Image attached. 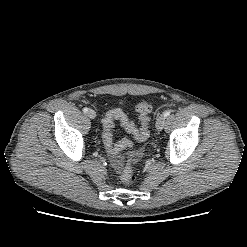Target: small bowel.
Listing matches in <instances>:
<instances>
[{
	"mask_svg": "<svg viewBox=\"0 0 247 247\" xmlns=\"http://www.w3.org/2000/svg\"><path fill=\"white\" fill-rule=\"evenodd\" d=\"M111 162L116 170H120L122 167V159L119 155H112Z\"/></svg>",
	"mask_w": 247,
	"mask_h": 247,
	"instance_id": "c3829d8e",
	"label": "small bowel"
}]
</instances>
